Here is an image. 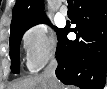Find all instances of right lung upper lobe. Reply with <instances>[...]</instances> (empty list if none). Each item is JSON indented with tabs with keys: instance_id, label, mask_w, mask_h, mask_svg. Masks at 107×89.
<instances>
[{
	"instance_id": "right-lung-upper-lobe-1",
	"label": "right lung upper lobe",
	"mask_w": 107,
	"mask_h": 89,
	"mask_svg": "<svg viewBox=\"0 0 107 89\" xmlns=\"http://www.w3.org/2000/svg\"><path fill=\"white\" fill-rule=\"evenodd\" d=\"M46 18L43 0H16L13 8L11 28Z\"/></svg>"
}]
</instances>
